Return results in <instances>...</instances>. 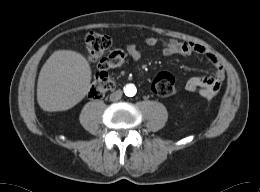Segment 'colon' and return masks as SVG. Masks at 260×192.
Returning <instances> with one entry per match:
<instances>
[{"label": "colon", "instance_id": "colon-1", "mask_svg": "<svg viewBox=\"0 0 260 192\" xmlns=\"http://www.w3.org/2000/svg\"><path fill=\"white\" fill-rule=\"evenodd\" d=\"M110 46V37L102 33L90 32L85 38L87 56L97 62L99 68L89 90V97L93 100L101 99L114 88V80L109 72L121 69L125 64V56L120 51L104 55ZM151 89L158 96H172L177 92L175 78L168 72H161L154 78Z\"/></svg>", "mask_w": 260, "mask_h": 192}]
</instances>
